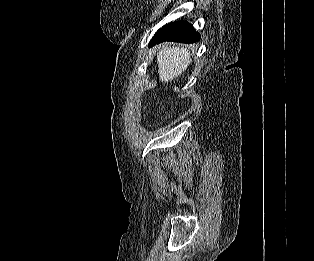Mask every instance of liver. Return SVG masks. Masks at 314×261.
<instances>
[{"instance_id":"liver-1","label":"liver","mask_w":314,"mask_h":261,"mask_svg":"<svg viewBox=\"0 0 314 261\" xmlns=\"http://www.w3.org/2000/svg\"><path fill=\"white\" fill-rule=\"evenodd\" d=\"M160 81L168 83L184 73L191 63L190 53L184 47L162 46L157 54Z\"/></svg>"}]
</instances>
